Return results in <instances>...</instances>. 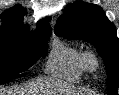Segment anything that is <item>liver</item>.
Masks as SVG:
<instances>
[{
    "label": "liver",
    "mask_w": 119,
    "mask_h": 95,
    "mask_svg": "<svg viewBox=\"0 0 119 95\" xmlns=\"http://www.w3.org/2000/svg\"><path fill=\"white\" fill-rule=\"evenodd\" d=\"M56 89L66 95H73L77 92L75 88L67 84L41 79L20 88L7 89L0 86V95H41L40 93H48V90L49 93H54Z\"/></svg>",
    "instance_id": "1"
}]
</instances>
